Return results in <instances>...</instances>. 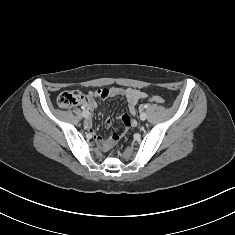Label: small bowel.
I'll return each mask as SVG.
<instances>
[{
  "mask_svg": "<svg viewBox=\"0 0 235 235\" xmlns=\"http://www.w3.org/2000/svg\"><path fill=\"white\" fill-rule=\"evenodd\" d=\"M116 96H122L126 99L129 107V112L131 115H136L137 112L136 105L138 101L147 98V94L144 91L138 89L134 88L123 89L118 87H112L109 89L98 90L90 93L87 100L84 101L83 106L88 110H93L97 106L96 97H100L101 99H106L108 97H116ZM105 124L107 127H109L112 124V119L108 117ZM85 128L92 136L95 137V139L101 145L104 144L105 138L102 137L101 135L95 134L91 121L85 122Z\"/></svg>",
  "mask_w": 235,
  "mask_h": 235,
  "instance_id": "1",
  "label": "small bowel"
}]
</instances>
